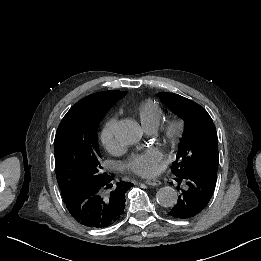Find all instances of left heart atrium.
<instances>
[{
    "label": "left heart atrium",
    "mask_w": 261,
    "mask_h": 261,
    "mask_svg": "<svg viewBox=\"0 0 261 261\" xmlns=\"http://www.w3.org/2000/svg\"><path fill=\"white\" fill-rule=\"evenodd\" d=\"M163 166V156L156 150H145L129 155L121 167L142 177H154Z\"/></svg>",
    "instance_id": "obj_1"
}]
</instances>
